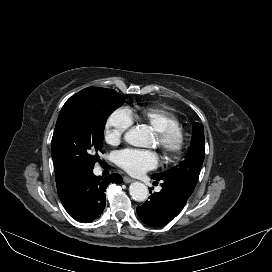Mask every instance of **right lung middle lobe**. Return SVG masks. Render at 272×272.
Here are the masks:
<instances>
[{
	"instance_id": "dd1d6c3e",
	"label": "right lung middle lobe",
	"mask_w": 272,
	"mask_h": 272,
	"mask_svg": "<svg viewBox=\"0 0 272 272\" xmlns=\"http://www.w3.org/2000/svg\"><path fill=\"white\" fill-rule=\"evenodd\" d=\"M125 98L109 89L88 87L73 95L56 122L51 155L70 177L93 171L102 153L104 126L108 116Z\"/></svg>"
}]
</instances>
